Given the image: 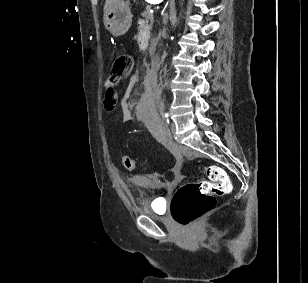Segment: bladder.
Returning a JSON list of instances; mask_svg holds the SVG:
<instances>
[{"label":"bladder","instance_id":"1","mask_svg":"<svg viewBox=\"0 0 308 283\" xmlns=\"http://www.w3.org/2000/svg\"><path fill=\"white\" fill-rule=\"evenodd\" d=\"M144 212L150 215L162 216L164 214V208L161 199L157 197L150 200L144 208Z\"/></svg>","mask_w":308,"mask_h":283}]
</instances>
